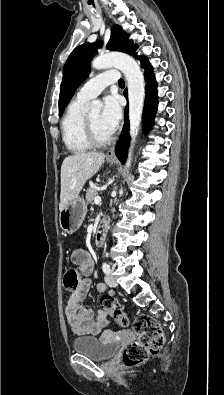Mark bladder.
<instances>
[{
	"mask_svg": "<svg viewBox=\"0 0 224 395\" xmlns=\"http://www.w3.org/2000/svg\"><path fill=\"white\" fill-rule=\"evenodd\" d=\"M73 349L94 361L111 359L117 351L115 344L103 337H78L73 341Z\"/></svg>",
	"mask_w": 224,
	"mask_h": 395,
	"instance_id": "1",
	"label": "bladder"
}]
</instances>
